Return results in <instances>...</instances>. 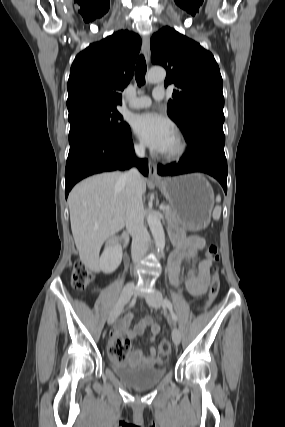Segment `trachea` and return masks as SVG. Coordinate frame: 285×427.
<instances>
[{"mask_svg": "<svg viewBox=\"0 0 285 427\" xmlns=\"http://www.w3.org/2000/svg\"><path fill=\"white\" fill-rule=\"evenodd\" d=\"M146 70H147V66H146L145 58L143 55H140L136 64V69H135V79L139 87L145 84Z\"/></svg>", "mask_w": 285, "mask_h": 427, "instance_id": "trachea-1", "label": "trachea"}]
</instances>
